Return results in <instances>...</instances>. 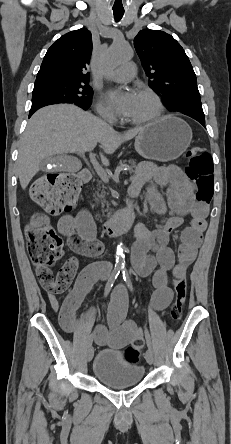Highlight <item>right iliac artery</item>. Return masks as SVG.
Segmentation results:
<instances>
[{
    "instance_id": "1",
    "label": "right iliac artery",
    "mask_w": 231,
    "mask_h": 444,
    "mask_svg": "<svg viewBox=\"0 0 231 444\" xmlns=\"http://www.w3.org/2000/svg\"><path fill=\"white\" fill-rule=\"evenodd\" d=\"M119 273H120V268L119 267L115 268L114 271L112 272V274H111V276H110V278H109V280H108V282L106 284V287H105V292H104V296L105 297H107V295L109 294V292H110V290H111L115 280L117 279ZM92 341H93V339L90 336V338L88 340V347H90L92 345Z\"/></svg>"
}]
</instances>
